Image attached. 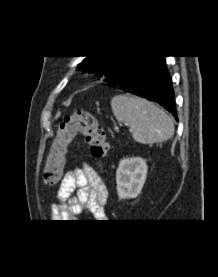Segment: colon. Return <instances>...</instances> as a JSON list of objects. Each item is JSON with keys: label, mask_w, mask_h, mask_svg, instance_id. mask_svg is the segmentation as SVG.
<instances>
[{"label": "colon", "mask_w": 218, "mask_h": 277, "mask_svg": "<svg viewBox=\"0 0 218 277\" xmlns=\"http://www.w3.org/2000/svg\"><path fill=\"white\" fill-rule=\"evenodd\" d=\"M82 136L96 158L105 157L110 145L96 117L87 111H77L64 117L58 125L47 155L43 179L48 185L56 184L63 173L69 144Z\"/></svg>", "instance_id": "colon-1"}]
</instances>
